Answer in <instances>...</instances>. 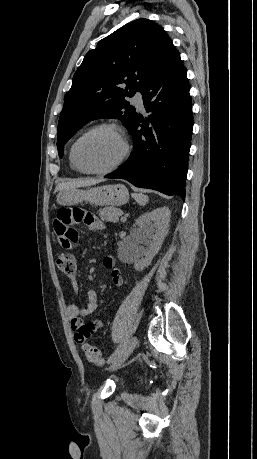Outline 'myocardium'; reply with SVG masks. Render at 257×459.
I'll return each instance as SVG.
<instances>
[{"label":"myocardium","mask_w":257,"mask_h":459,"mask_svg":"<svg viewBox=\"0 0 257 459\" xmlns=\"http://www.w3.org/2000/svg\"><path fill=\"white\" fill-rule=\"evenodd\" d=\"M99 130H111L114 133H116L120 137V139L122 140L123 152L120 155V157L117 159V161L114 164H112L111 166H109L107 168H103V169H89V168L85 167L81 163V161H80V159L78 157V147H79L80 143L85 138H87L89 135H91L94 132H97ZM129 154H130V145H129L128 139L126 137V134H125V132L123 131V129L120 126H118V125H116L114 123H100V124H97V125L89 128L87 131H85L81 136H79L77 138V140L74 142V144L72 146V157H73L74 163L82 173H86V174L103 175V174L111 173V172L117 170L125 162V160L129 156Z\"/></svg>","instance_id":"1"}]
</instances>
